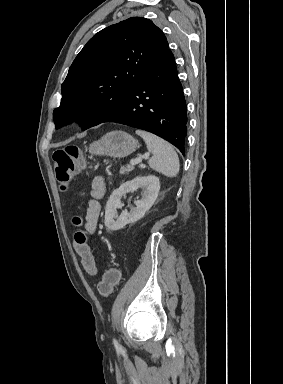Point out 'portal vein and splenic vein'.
<instances>
[{
  "label": "portal vein and splenic vein",
  "instance_id": "portal-vein-and-splenic-vein-1",
  "mask_svg": "<svg viewBox=\"0 0 283 384\" xmlns=\"http://www.w3.org/2000/svg\"><path fill=\"white\" fill-rule=\"evenodd\" d=\"M151 156L150 152H147V154H144V156H140V158H136V160H130L131 166H136V164H140L142 162V158H149Z\"/></svg>",
  "mask_w": 283,
  "mask_h": 384
}]
</instances>
